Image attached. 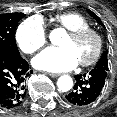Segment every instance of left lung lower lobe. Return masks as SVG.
<instances>
[{
  "label": "left lung lower lobe",
  "mask_w": 117,
  "mask_h": 117,
  "mask_svg": "<svg viewBox=\"0 0 117 117\" xmlns=\"http://www.w3.org/2000/svg\"><path fill=\"white\" fill-rule=\"evenodd\" d=\"M108 71L93 68L89 73L75 76L73 90L66 95L69 103L76 106L92 104L100 96L107 81Z\"/></svg>",
  "instance_id": "1"
}]
</instances>
